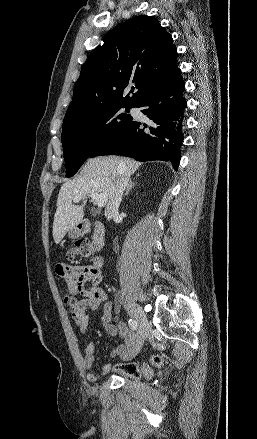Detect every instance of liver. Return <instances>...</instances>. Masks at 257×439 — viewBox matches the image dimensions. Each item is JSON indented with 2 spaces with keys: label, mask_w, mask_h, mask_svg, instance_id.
Returning a JSON list of instances; mask_svg holds the SVG:
<instances>
[{
  "label": "liver",
  "mask_w": 257,
  "mask_h": 439,
  "mask_svg": "<svg viewBox=\"0 0 257 439\" xmlns=\"http://www.w3.org/2000/svg\"><path fill=\"white\" fill-rule=\"evenodd\" d=\"M141 163L115 156L89 159L79 175L61 186L57 198V209L53 221V238L60 243L65 234L82 221L87 197L91 193L106 194L109 199L122 177H130ZM80 195L83 203L72 204Z\"/></svg>",
  "instance_id": "obj_1"
}]
</instances>
